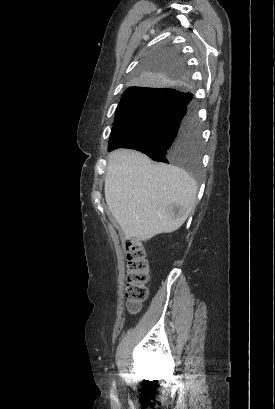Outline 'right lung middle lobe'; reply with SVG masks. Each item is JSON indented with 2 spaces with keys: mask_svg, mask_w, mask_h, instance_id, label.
Instances as JSON below:
<instances>
[{
  "mask_svg": "<svg viewBox=\"0 0 275 409\" xmlns=\"http://www.w3.org/2000/svg\"><path fill=\"white\" fill-rule=\"evenodd\" d=\"M184 57H144L129 79L136 90L116 110L108 150L136 149L152 160L185 167L193 181H202V145L194 94L184 90L189 70Z\"/></svg>",
  "mask_w": 275,
  "mask_h": 409,
  "instance_id": "obj_1",
  "label": "right lung middle lobe"
}]
</instances>
